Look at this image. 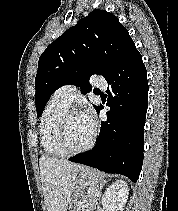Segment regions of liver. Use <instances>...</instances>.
<instances>
[{
    "label": "liver",
    "instance_id": "obj_1",
    "mask_svg": "<svg viewBox=\"0 0 178 211\" xmlns=\"http://www.w3.org/2000/svg\"><path fill=\"white\" fill-rule=\"evenodd\" d=\"M39 167L47 211H67L77 185V173L84 167L45 155L40 157Z\"/></svg>",
    "mask_w": 178,
    "mask_h": 211
}]
</instances>
